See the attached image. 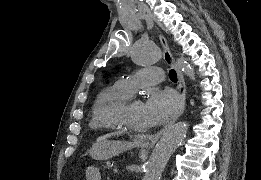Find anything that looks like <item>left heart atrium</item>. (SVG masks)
Segmentation results:
<instances>
[{
    "mask_svg": "<svg viewBox=\"0 0 261 180\" xmlns=\"http://www.w3.org/2000/svg\"><path fill=\"white\" fill-rule=\"evenodd\" d=\"M179 95L172 89H154L144 102V110L153 123L175 113L180 107Z\"/></svg>",
    "mask_w": 261,
    "mask_h": 180,
    "instance_id": "left-heart-atrium-1",
    "label": "left heart atrium"
}]
</instances>
